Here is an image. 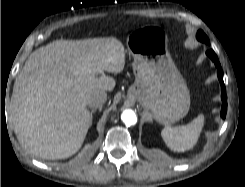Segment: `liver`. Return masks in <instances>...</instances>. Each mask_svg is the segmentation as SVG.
I'll return each instance as SVG.
<instances>
[{
  "label": "liver",
  "instance_id": "1",
  "mask_svg": "<svg viewBox=\"0 0 245 187\" xmlns=\"http://www.w3.org/2000/svg\"><path fill=\"white\" fill-rule=\"evenodd\" d=\"M125 49L116 38L56 40L35 50L15 79L10 119L19 143L44 159H65L82 146L92 124L88 97L112 91Z\"/></svg>",
  "mask_w": 245,
  "mask_h": 187
}]
</instances>
